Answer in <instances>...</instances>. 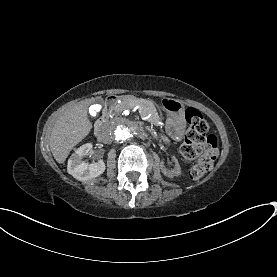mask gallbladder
I'll list each match as a JSON object with an SVG mask.
<instances>
[{"label":"gallbladder","mask_w":277,"mask_h":277,"mask_svg":"<svg viewBox=\"0 0 277 277\" xmlns=\"http://www.w3.org/2000/svg\"><path fill=\"white\" fill-rule=\"evenodd\" d=\"M95 102L102 104L103 103V99L98 97V98L95 99Z\"/></svg>","instance_id":"obj_1"}]
</instances>
